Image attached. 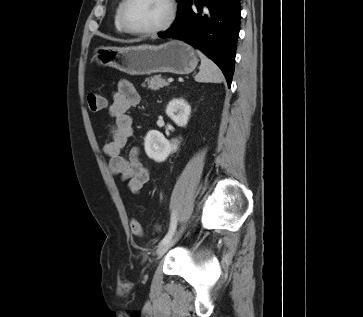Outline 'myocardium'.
Masks as SVG:
<instances>
[{
	"label": "myocardium",
	"instance_id": "1",
	"mask_svg": "<svg viewBox=\"0 0 363 317\" xmlns=\"http://www.w3.org/2000/svg\"><path fill=\"white\" fill-rule=\"evenodd\" d=\"M131 1L132 0H123L119 12L121 26L124 29V31L127 33L139 36L157 35L169 29L175 20L176 11H177L175 0H165L168 6V15L165 21L161 25L152 29H134L129 25L126 17L127 8L131 3Z\"/></svg>",
	"mask_w": 363,
	"mask_h": 317
}]
</instances>
